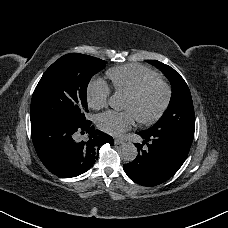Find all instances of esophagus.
<instances>
[{
	"label": "esophagus",
	"instance_id": "esophagus-1",
	"mask_svg": "<svg viewBox=\"0 0 228 228\" xmlns=\"http://www.w3.org/2000/svg\"><path fill=\"white\" fill-rule=\"evenodd\" d=\"M114 141H115V144H116V145H121V144L124 143V141H123L122 139H117V138H116Z\"/></svg>",
	"mask_w": 228,
	"mask_h": 228
}]
</instances>
